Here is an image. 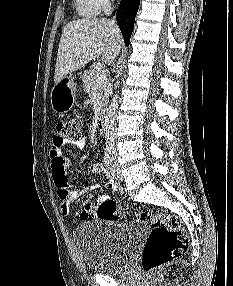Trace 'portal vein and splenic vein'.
Returning a JSON list of instances; mask_svg holds the SVG:
<instances>
[{
	"label": "portal vein and splenic vein",
	"mask_w": 233,
	"mask_h": 286,
	"mask_svg": "<svg viewBox=\"0 0 233 286\" xmlns=\"http://www.w3.org/2000/svg\"><path fill=\"white\" fill-rule=\"evenodd\" d=\"M105 77H106L105 70L102 68H98L96 75H95L96 81H103L105 79Z\"/></svg>",
	"instance_id": "18ae733b"
}]
</instances>
